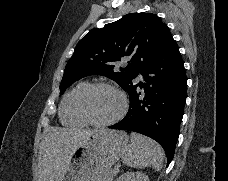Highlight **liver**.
<instances>
[{"label": "liver", "instance_id": "6515ba94", "mask_svg": "<svg viewBox=\"0 0 228 181\" xmlns=\"http://www.w3.org/2000/svg\"><path fill=\"white\" fill-rule=\"evenodd\" d=\"M104 129H52L44 137L38 155V177L39 181H62L66 175L70 157L86 141L89 135Z\"/></svg>", "mask_w": 228, "mask_h": 181}]
</instances>
